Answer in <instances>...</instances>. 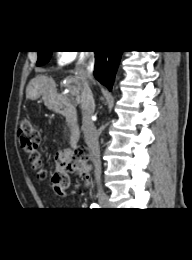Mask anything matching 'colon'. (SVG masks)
Wrapping results in <instances>:
<instances>
[{"instance_id":"5ec220e1","label":"colon","mask_w":192,"mask_h":260,"mask_svg":"<svg viewBox=\"0 0 192 260\" xmlns=\"http://www.w3.org/2000/svg\"><path fill=\"white\" fill-rule=\"evenodd\" d=\"M18 141L21 148L28 154L32 166L38 170L39 177L45 178L46 172L43 169V158L40 150V133L34 123L29 119H23L18 129ZM89 151L78 148L73 152L62 153L56 159L55 170L52 175V186L58 194H64L70 187L71 174L89 183L90 164Z\"/></svg>"}]
</instances>
